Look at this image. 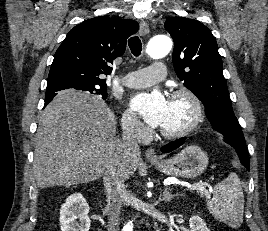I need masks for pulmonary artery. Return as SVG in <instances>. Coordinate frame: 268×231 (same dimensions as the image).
<instances>
[{
	"label": "pulmonary artery",
	"mask_w": 268,
	"mask_h": 231,
	"mask_svg": "<svg viewBox=\"0 0 268 231\" xmlns=\"http://www.w3.org/2000/svg\"><path fill=\"white\" fill-rule=\"evenodd\" d=\"M165 73L166 67L164 64L153 63L130 72L125 79V85L130 88L150 86L160 81Z\"/></svg>",
	"instance_id": "obj_1"
}]
</instances>
